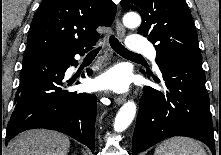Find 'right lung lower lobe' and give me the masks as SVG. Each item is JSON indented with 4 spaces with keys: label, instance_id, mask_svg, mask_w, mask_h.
<instances>
[{
    "label": "right lung lower lobe",
    "instance_id": "1",
    "mask_svg": "<svg viewBox=\"0 0 221 155\" xmlns=\"http://www.w3.org/2000/svg\"><path fill=\"white\" fill-rule=\"evenodd\" d=\"M88 50L77 53L43 50L24 55L6 145L22 131L46 128L65 133L94 152L97 98L94 94L66 90L73 81L64 80L65 71L77 64L74 56L84 55ZM87 71L89 75L92 73Z\"/></svg>",
    "mask_w": 221,
    "mask_h": 155
}]
</instances>
